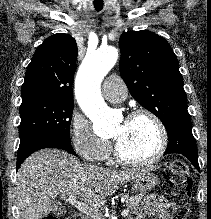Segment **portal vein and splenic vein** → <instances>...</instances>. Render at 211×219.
<instances>
[{
    "label": "portal vein and splenic vein",
    "instance_id": "18ae733b",
    "mask_svg": "<svg viewBox=\"0 0 211 219\" xmlns=\"http://www.w3.org/2000/svg\"><path fill=\"white\" fill-rule=\"evenodd\" d=\"M68 202H69L72 206L76 207L79 211H81V212H83V213H85V214H87V215L93 216V217H95L96 219H101V218L99 217L98 212H97L96 209H93V208H91V207H88L87 205H85V204L79 202V201L77 200V197H76V196H74V195L69 196ZM128 213H129V209H128V208H127V209H124V210L122 211V216H123V217H126V216L128 215Z\"/></svg>",
    "mask_w": 211,
    "mask_h": 219
}]
</instances>
